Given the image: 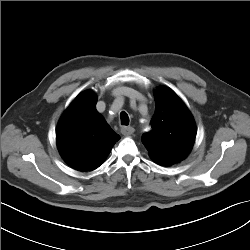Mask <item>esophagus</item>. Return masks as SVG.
<instances>
[{
	"label": "esophagus",
	"instance_id": "obj_1",
	"mask_svg": "<svg viewBox=\"0 0 250 250\" xmlns=\"http://www.w3.org/2000/svg\"><path fill=\"white\" fill-rule=\"evenodd\" d=\"M135 132V129L131 126H123L121 127V133L125 136H130Z\"/></svg>",
	"mask_w": 250,
	"mask_h": 250
}]
</instances>
